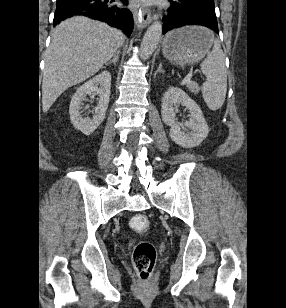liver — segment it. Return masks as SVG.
Masks as SVG:
<instances>
[{
    "instance_id": "1",
    "label": "liver",
    "mask_w": 286,
    "mask_h": 308,
    "mask_svg": "<svg viewBox=\"0 0 286 308\" xmlns=\"http://www.w3.org/2000/svg\"><path fill=\"white\" fill-rule=\"evenodd\" d=\"M124 40L121 31L87 17L57 25L45 57L42 110L47 112L65 90L97 73Z\"/></svg>"
}]
</instances>
